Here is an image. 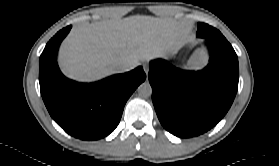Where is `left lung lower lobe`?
Here are the masks:
<instances>
[{
	"label": "left lung lower lobe",
	"instance_id": "left-lung-lower-lobe-1",
	"mask_svg": "<svg viewBox=\"0 0 279 166\" xmlns=\"http://www.w3.org/2000/svg\"><path fill=\"white\" fill-rule=\"evenodd\" d=\"M197 37L208 41L209 66L190 72L164 60L150 64L152 100L162 126L178 137L200 135L229 110L238 88V58L231 44L214 27L198 23Z\"/></svg>",
	"mask_w": 279,
	"mask_h": 166
}]
</instances>
